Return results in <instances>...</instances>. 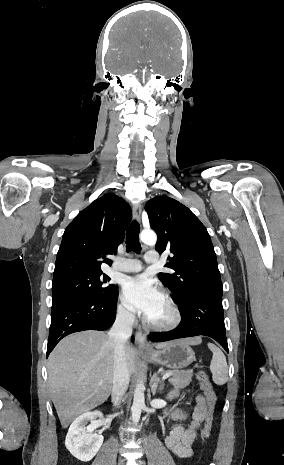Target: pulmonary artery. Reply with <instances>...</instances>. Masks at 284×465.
I'll use <instances>...</instances> for the list:
<instances>
[{
	"instance_id": "pulmonary-artery-1",
	"label": "pulmonary artery",
	"mask_w": 284,
	"mask_h": 465,
	"mask_svg": "<svg viewBox=\"0 0 284 465\" xmlns=\"http://www.w3.org/2000/svg\"><path fill=\"white\" fill-rule=\"evenodd\" d=\"M145 260L147 263H159L161 261V256L157 250H148L145 255ZM141 269L142 264L136 259L115 260L111 266V270L121 272H139Z\"/></svg>"
}]
</instances>
